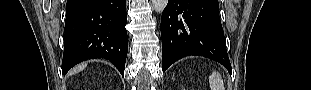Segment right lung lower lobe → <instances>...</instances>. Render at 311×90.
<instances>
[{
	"label": "right lung lower lobe",
	"instance_id": "right-lung-lower-lobe-1",
	"mask_svg": "<svg viewBox=\"0 0 311 90\" xmlns=\"http://www.w3.org/2000/svg\"><path fill=\"white\" fill-rule=\"evenodd\" d=\"M126 0H67L62 72L105 58L124 75L128 52Z\"/></svg>",
	"mask_w": 311,
	"mask_h": 90
}]
</instances>
